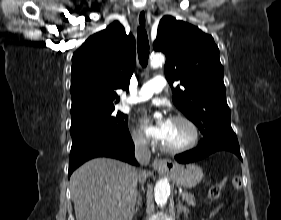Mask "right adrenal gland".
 Instances as JSON below:
<instances>
[{
  "label": "right adrenal gland",
  "instance_id": "2a0ac1e0",
  "mask_svg": "<svg viewBox=\"0 0 281 220\" xmlns=\"http://www.w3.org/2000/svg\"><path fill=\"white\" fill-rule=\"evenodd\" d=\"M139 207H142V198L140 196V193L137 195V201H136V207H135V213L138 212Z\"/></svg>",
  "mask_w": 281,
  "mask_h": 220
}]
</instances>
